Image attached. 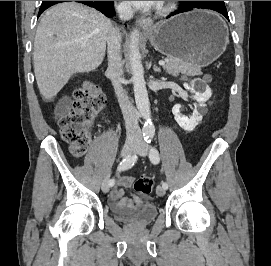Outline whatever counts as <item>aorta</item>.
Wrapping results in <instances>:
<instances>
[{
    "mask_svg": "<svg viewBox=\"0 0 271 266\" xmlns=\"http://www.w3.org/2000/svg\"><path fill=\"white\" fill-rule=\"evenodd\" d=\"M139 34L140 32L138 29L132 30L130 34V68L136 106L141 116L146 120L142 130L143 135L146 138H152L155 134V127L151 121L150 103L144 79V69L138 47Z\"/></svg>",
    "mask_w": 271,
    "mask_h": 266,
    "instance_id": "762f6f07",
    "label": "aorta"
}]
</instances>
